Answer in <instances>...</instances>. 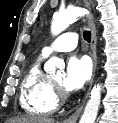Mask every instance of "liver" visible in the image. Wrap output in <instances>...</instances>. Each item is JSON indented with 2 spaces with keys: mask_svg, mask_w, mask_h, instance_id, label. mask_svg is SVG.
Masks as SVG:
<instances>
[{
  "mask_svg": "<svg viewBox=\"0 0 118 123\" xmlns=\"http://www.w3.org/2000/svg\"><path fill=\"white\" fill-rule=\"evenodd\" d=\"M7 123H55L54 119L42 116H21L12 118Z\"/></svg>",
  "mask_w": 118,
  "mask_h": 123,
  "instance_id": "liver-1",
  "label": "liver"
}]
</instances>
